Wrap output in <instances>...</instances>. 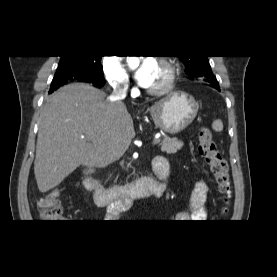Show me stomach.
I'll return each instance as SVG.
<instances>
[{
    "label": "stomach",
    "mask_w": 277,
    "mask_h": 277,
    "mask_svg": "<svg viewBox=\"0 0 277 277\" xmlns=\"http://www.w3.org/2000/svg\"><path fill=\"white\" fill-rule=\"evenodd\" d=\"M198 108L194 97L183 91H175L148 110L157 128L168 134H177L192 123Z\"/></svg>",
    "instance_id": "obj_1"
}]
</instances>
